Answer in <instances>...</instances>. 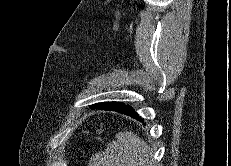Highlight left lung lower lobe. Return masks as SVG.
<instances>
[{"label":"left lung lower lobe","mask_w":231,"mask_h":166,"mask_svg":"<svg viewBox=\"0 0 231 166\" xmlns=\"http://www.w3.org/2000/svg\"><path fill=\"white\" fill-rule=\"evenodd\" d=\"M93 109L99 110H112L127 116H131L139 121H142L141 117H138V114L128 105L120 102H103V103H96L90 106Z\"/></svg>","instance_id":"left-lung-lower-lobe-1"}]
</instances>
